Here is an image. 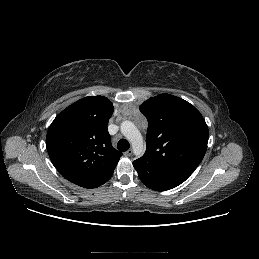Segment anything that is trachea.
<instances>
[{
  "label": "trachea",
  "instance_id": "3493384b",
  "mask_svg": "<svg viewBox=\"0 0 259 259\" xmlns=\"http://www.w3.org/2000/svg\"><path fill=\"white\" fill-rule=\"evenodd\" d=\"M129 147H130V144L126 139H121L117 143L118 150H120L122 152L127 151L129 149Z\"/></svg>",
  "mask_w": 259,
  "mask_h": 259
}]
</instances>
